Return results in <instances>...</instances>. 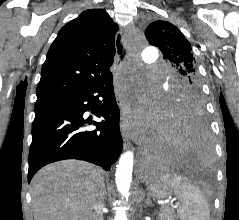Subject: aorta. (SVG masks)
<instances>
[{
	"mask_svg": "<svg viewBox=\"0 0 239 220\" xmlns=\"http://www.w3.org/2000/svg\"><path fill=\"white\" fill-rule=\"evenodd\" d=\"M132 33H128V40H132ZM132 46V45H130ZM142 52V61L144 65H153L156 61L157 48H144ZM140 66V65H138ZM134 154L132 151L123 153L119 159L115 181L119 193L123 198L128 199L130 196V185L132 182Z\"/></svg>",
	"mask_w": 239,
	"mask_h": 220,
	"instance_id": "762f6f07",
	"label": "aorta"
}]
</instances>
